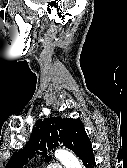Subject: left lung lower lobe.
I'll return each instance as SVG.
<instances>
[{
    "label": "left lung lower lobe",
    "instance_id": "left-lung-lower-lobe-1",
    "mask_svg": "<svg viewBox=\"0 0 127 168\" xmlns=\"http://www.w3.org/2000/svg\"><path fill=\"white\" fill-rule=\"evenodd\" d=\"M77 156L82 160L85 168H94L95 159L93 155V149L91 141L86 138L78 149Z\"/></svg>",
    "mask_w": 127,
    "mask_h": 168
}]
</instances>
